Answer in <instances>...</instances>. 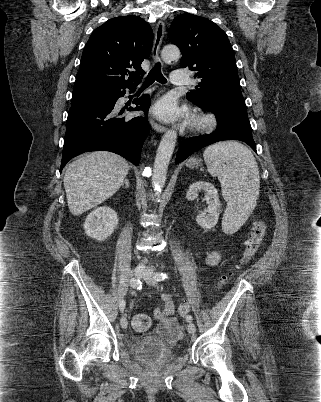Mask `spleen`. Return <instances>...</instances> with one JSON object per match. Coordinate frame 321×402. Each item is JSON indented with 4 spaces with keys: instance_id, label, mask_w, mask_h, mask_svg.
I'll return each mask as SVG.
<instances>
[{
    "instance_id": "1",
    "label": "spleen",
    "mask_w": 321,
    "mask_h": 402,
    "mask_svg": "<svg viewBox=\"0 0 321 402\" xmlns=\"http://www.w3.org/2000/svg\"><path fill=\"white\" fill-rule=\"evenodd\" d=\"M203 157L208 172L218 178L227 202L222 229L227 234L233 233L256 206L260 190L256 159L245 145L236 141L210 145Z\"/></svg>"
}]
</instances>
